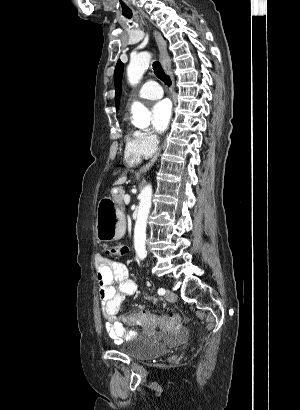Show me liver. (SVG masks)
Segmentation results:
<instances>
[{
  "instance_id": "liver-1",
  "label": "liver",
  "mask_w": 300,
  "mask_h": 410,
  "mask_svg": "<svg viewBox=\"0 0 300 410\" xmlns=\"http://www.w3.org/2000/svg\"><path fill=\"white\" fill-rule=\"evenodd\" d=\"M126 179H127V177H126V176H123V177L119 178V179L115 182V184H116V185L123 184V183H125Z\"/></svg>"
}]
</instances>
